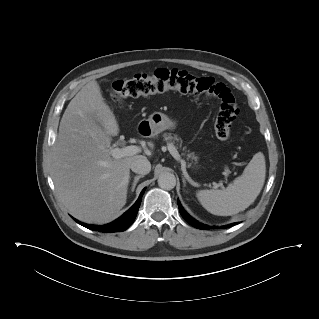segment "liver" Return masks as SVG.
Masks as SVG:
<instances>
[{"mask_svg": "<svg viewBox=\"0 0 319 319\" xmlns=\"http://www.w3.org/2000/svg\"><path fill=\"white\" fill-rule=\"evenodd\" d=\"M119 131L95 80L76 94L62 116L51 174L61 202L81 221L109 222L126 204L130 165L145 156L112 158L111 137Z\"/></svg>", "mask_w": 319, "mask_h": 319, "instance_id": "liver-1", "label": "liver"}]
</instances>
